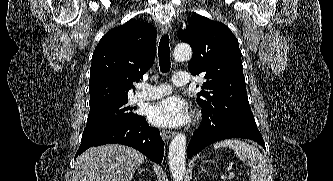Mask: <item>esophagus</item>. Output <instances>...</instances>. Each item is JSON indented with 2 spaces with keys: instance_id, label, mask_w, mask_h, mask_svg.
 Wrapping results in <instances>:
<instances>
[{
  "instance_id": "1",
  "label": "esophagus",
  "mask_w": 333,
  "mask_h": 181,
  "mask_svg": "<svg viewBox=\"0 0 333 181\" xmlns=\"http://www.w3.org/2000/svg\"><path fill=\"white\" fill-rule=\"evenodd\" d=\"M161 29H162V32H163L164 34H168V33L171 32L172 27H171L170 24H168V23H164V24L162 25ZM161 136H162L163 139H165V140H169V139H171L173 136H175V132H174V131H170V130H162V131H161Z\"/></svg>"
}]
</instances>
